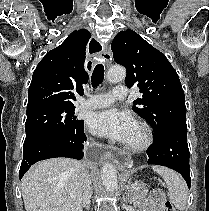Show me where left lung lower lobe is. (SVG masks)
Returning <instances> with one entry per match:
<instances>
[{
	"label": "left lung lower lobe",
	"mask_w": 209,
	"mask_h": 211,
	"mask_svg": "<svg viewBox=\"0 0 209 211\" xmlns=\"http://www.w3.org/2000/svg\"><path fill=\"white\" fill-rule=\"evenodd\" d=\"M148 164L162 165L179 172L188 187L191 186L189 171V149L187 125L177 124L167 128L154 138V144L147 150Z\"/></svg>",
	"instance_id": "left-lung-lower-lobe-1"
}]
</instances>
